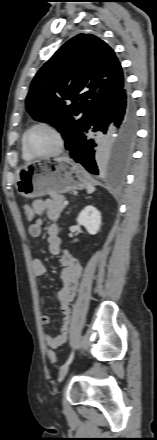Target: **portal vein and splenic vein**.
<instances>
[{"mask_svg":"<svg viewBox=\"0 0 157 440\" xmlns=\"http://www.w3.org/2000/svg\"><path fill=\"white\" fill-rule=\"evenodd\" d=\"M63 203H64V205H68V201H64Z\"/></svg>","mask_w":157,"mask_h":440,"instance_id":"obj_1","label":"portal vein and splenic vein"}]
</instances>
